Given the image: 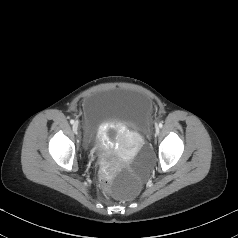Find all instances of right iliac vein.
Masks as SVG:
<instances>
[{"mask_svg": "<svg viewBox=\"0 0 238 238\" xmlns=\"http://www.w3.org/2000/svg\"><path fill=\"white\" fill-rule=\"evenodd\" d=\"M78 126H79L78 121H76V122L73 123L72 128H73V131H74L75 133H77V131H78Z\"/></svg>", "mask_w": 238, "mask_h": 238, "instance_id": "63e3f726", "label": "right iliac vein"}]
</instances>
